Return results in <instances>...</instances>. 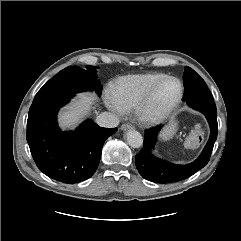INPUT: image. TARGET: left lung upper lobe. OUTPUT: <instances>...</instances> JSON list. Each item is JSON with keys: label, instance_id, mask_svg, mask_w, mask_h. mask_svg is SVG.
I'll use <instances>...</instances> for the list:
<instances>
[{"label": "left lung upper lobe", "instance_id": "obj_1", "mask_svg": "<svg viewBox=\"0 0 241 241\" xmlns=\"http://www.w3.org/2000/svg\"><path fill=\"white\" fill-rule=\"evenodd\" d=\"M184 97L183 101L191 104L197 101H213L212 94L204 80L190 67H185L184 75Z\"/></svg>", "mask_w": 241, "mask_h": 241}]
</instances>
